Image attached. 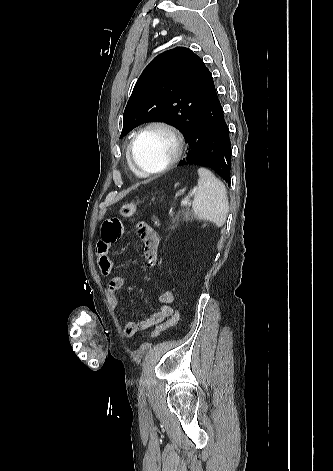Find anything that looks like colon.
<instances>
[{
  "mask_svg": "<svg viewBox=\"0 0 333 471\" xmlns=\"http://www.w3.org/2000/svg\"><path fill=\"white\" fill-rule=\"evenodd\" d=\"M139 207V203L138 202H130V203H126L124 205L121 206L120 208V215L122 217H131L132 215L135 214V212L137 211ZM179 318H180V313L178 310H176L174 312V314L172 315V317L166 321L165 323L161 324L160 326H158L150 335V338H155L156 336H158L159 334H161L162 332H164L165 330L171 328V327H175L178 322H179Z\"/></svg>",
  "mask_w": 333,
  "mask_h": 471,
  "instance_id": "1",
  "label": "colon"
}]
</instances>
